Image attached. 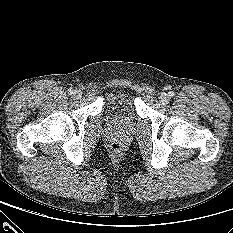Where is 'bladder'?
I'll use <instances>...</instances> for the list:
<instances>
[{
	"label": "bladder",
	"mask_w": 233,
	"mask_h": 233,
	"mask_svg": "<svg viewBox=\"0 0 233 233\" xmlns=\"http://www.w3.org/2000/svg\"><path fill=\"white\" fill-rule=\"evenodd\" d=\"M136 95L127 89H114L104 98L103 111L109 119L135 115Z\"/></svg>",
	"instance_id": "obj_1"
}]
</instances>
